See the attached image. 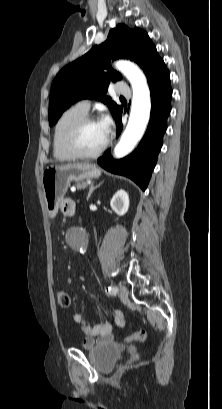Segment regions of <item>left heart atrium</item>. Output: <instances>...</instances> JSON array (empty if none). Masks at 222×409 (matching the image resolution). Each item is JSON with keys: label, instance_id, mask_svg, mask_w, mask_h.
<instances>
[{"label": "left heart atrium", "instance_id": "obj_1", "mask_svg": "<svg viewBox=\"0 0 222 409\" xmlns=\"http://www.w3.org/2000/svg\"><path fill=\"white\" fill-rule=\"evenodd\" d=\"M102 130L104 132V135L106 137V139L108 138V136L110 135L111 132V128H112V121L110 119L109 116H104L100 121H99Z\"/></svg>", "mask_w": 222, "mask_h": 409}]
</instances>
